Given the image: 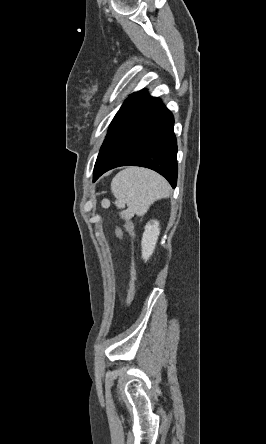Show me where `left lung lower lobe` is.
Instances as JSON below:
<instances>
[{"label": "left lung lower lobe", "instance_id": "0a47b994", "mask_svg": "<svg viewBox=\"0 0 266 444\" xmlns=\"http://www.w3.org/2000/svg\"><path fill=\"white\" fill-rule=\"evenodd\" d=\"M171 112L147 93L115 115L94 167L93 181L119 166H142L177 182V143Z\"/></svg>", "mask_w": 266, "mask_h": 444}]
</instances>
